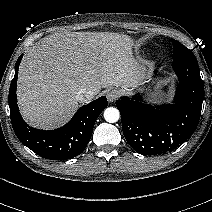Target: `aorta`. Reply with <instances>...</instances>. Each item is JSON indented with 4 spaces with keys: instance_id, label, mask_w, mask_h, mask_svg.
I'll return each mask as SVG.
<instances>
[{
    "instance_id": "aorta-1",
    "label": "aorta",
    "mask_w": 212,
    "mask_h": 212,
    "mask_svg": "<svg viewBox=\"0 0 212 212\" xmlns=\"http://www.w3.org/2000/svg\"><path fill=\"white\" fill-rule=\"evenodd\" d=\"M120 118V112L117 108L108 107L104 110V119L109 123H115Z\"/></svg>"
}]
</instances>
